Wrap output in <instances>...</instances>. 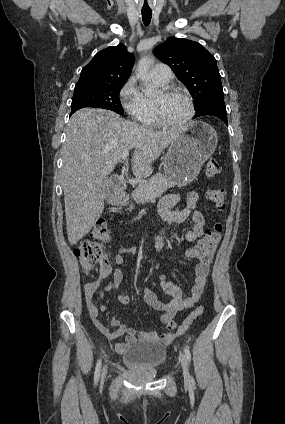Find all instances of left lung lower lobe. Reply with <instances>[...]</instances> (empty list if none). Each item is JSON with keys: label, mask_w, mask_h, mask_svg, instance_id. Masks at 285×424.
Wrapping results in <instances>:
<instances>
[{"label": "left lung lower lobe", "mask_w": 285, "mask_h": 424, "mask_svg": "<svg viewBox=\"0 0 285 424\" xmlns=\"http://www.w3.org/2000/svg\"><path fill=\"white\" fill-rule=\"evenodd\" d=\"M211 115L220 118L226 125L227 121V112L224 103V98H216L205 103L201 108L196 110V115L194 118L199 116Z\"/></svg>", "instance_id": "1"}]
</instances>
